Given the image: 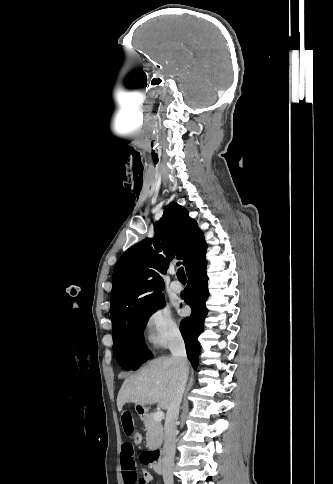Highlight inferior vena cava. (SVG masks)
Masks as SVG:
<instances>
[{
	"label": "inferior vena cava",
	"instance_id": "602c4592",
	"mask_svg": "<svg viewBox=\"0 0 333 484\" xmlns=\"http://www.w3.org/2000/svg\"><path fill=\"white\" fill-rule=\"evenodd\" d=\"M169 350L172 353V359L176 360L180 369V382L173 398V401L167 410V417L165 422V436L163 445V481L164 484H173V466L175 456V445L177 427L176 421L178 419L180 405L182 402L183 393L188 379V359L186 355V349L184 340L181 333L177 330L174 331L168 344Z\"/></svg>",
	"mask_w": 333,
	"mask_h": 484
}]
</instances>
